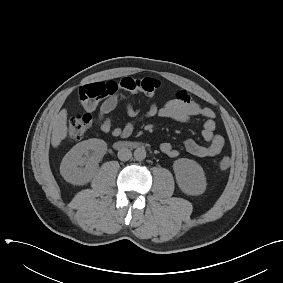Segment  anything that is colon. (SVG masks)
<instances>
[{
    "mask_svg": "<svg viewBox=\"0 0 283 283\" xmlns=\"http://www.w3.org/2000/svg\"><path fill=\"white\" fill-rule=\"evenodd\" d=\"M160 86V82L151 77L134 78L124 77L116 82L115 91L119 95L144 93L147 95L154 94ZM94 124L90 114H79L72 117L67 126V137L69 140H79L92 128ZM231 160L228 157L221 158L218 161V167L222 170L228 169Z\"/></svg>",
    "mask_w": 283,
    "mask_h": 283,
    "instance_id": "obj_1",
    "label": "colon"
}]
</instances>
